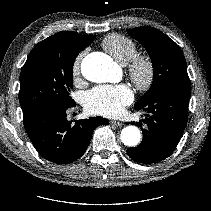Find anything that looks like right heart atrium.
<instances>
[{
  "label": "right heart atrium",
  "instance_id": "1",
  "mask_svg": "<svg viewBox=\"0 0 211 211\" xmlns=\"http://www.w3.org/2000/svg\"><path fill=\"white\" fill-rule=\"evenodd\" d=\"M85 55V51H82L80 53H78L76 55V57L74 58L73 60V63H72V75L74 77V79H77L78 76L80 75V71H81V62H82V59Z\"/></svg>",
  "mask_w": 211,
  "mask_h": 211
}]
</instances>
